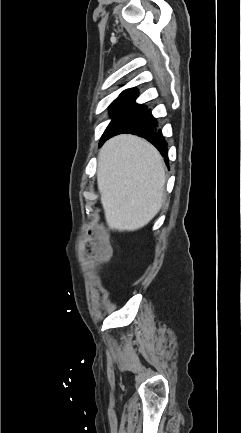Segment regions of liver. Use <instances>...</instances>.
<instances>
[{"instance_id": "6515ba94", "label": "liver", "mask_w": 241, "mask_h": 433, "mask_svg": "<svg viewBox=\"0 0 241 433\" xmlns=\"http://www.w3.org/2000/svg\"><path fill=\"white\" fill-rule=\"evenodd\" d=\"M165 164L146 140L123 134L108 140L98 156L97 183L109 230L135 231L160 211Z\"/></svg>"}]
</instances>
